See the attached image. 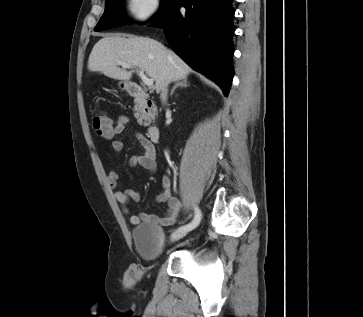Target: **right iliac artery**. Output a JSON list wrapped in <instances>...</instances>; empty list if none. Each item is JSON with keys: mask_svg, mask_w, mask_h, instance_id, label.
I'll return each mask as SVG.
<instances>
[{"mask_svg": "<svg viewBox=\"0 0 363 317\" xmlns=\"http://www.w3.org/2000/svg\"><path fill=\"white\" fill-rule=\"evenodd\" d=\"M200 220H201V212L196 207L195 208V217H194L193 221L190 222L189 224L185 225V226H182V227L178 228V230H187V231H190V230H192V229H194L195 227L198 226V224L200 223Z\"/></svg>", "mask_w": 363, "mask_h": 317, "instance_id": "right-iliac-artery-1", "label": "right iliac artery"}]
</instances>
